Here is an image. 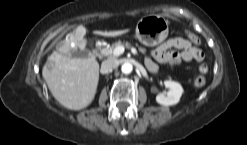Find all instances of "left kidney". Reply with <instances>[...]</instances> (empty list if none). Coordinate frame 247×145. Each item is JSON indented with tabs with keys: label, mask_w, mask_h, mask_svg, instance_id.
I'll return each instance as SVG.
<instances>
[{
	"label": "left kidney",
	"mask_w": 247,
	"mask_h": 145,
	"mask_svg": "<svg viewBox=\"0 0 247 145\" xmlns=\"http://www.w3.org/2000/svg\"><path fill=\"white\" fill-rule=\"evenodd\" d=\"M164 85L169 89V91L167 92V95L158 94L156 96L157 103L164 106L177 104L184 92L181 84L172 80H166L164 81Z\"/></svg>",
	"instance_id": "obj_1"
}]
</instances>
